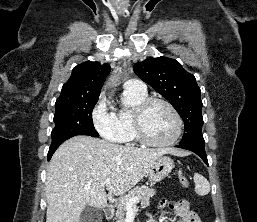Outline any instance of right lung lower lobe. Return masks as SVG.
Returning <instances> with one entry per match:
<instances>
[{
    "label": "right lung lower lobe",
    "instance_id": "right-lung-lower-lobe-1",
    "mask_svg": "<svg viewBox=\"0 0 257 222\" xmlns=\"http://www.w3.org/2000/svg\"><path fill=\"white\" fill-rule=\"evenodd\" d=\"M61 144H62V143L57 144V145H55V146H50L49 152H48V155H47V159H48V160L51 159L53 153L56 151V149H57Z\"/></svg>",
    "mask_w": 257,
    "mask_h": 222
}]
</instances>
